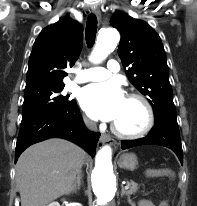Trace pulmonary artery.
<instances>
[{
	"instance_id": "obj_1",
	"label": "pulmonary artery",
	"mask_w": 197,
	"mask_h": 206,
	"mask_svg": "<svg viewBox=\"0 0 197 206\" xmlns=\"http://www.w3.org/2000/svg\"><path fill=\"white\" fill-rule=\"evenodd\" d=\"M120 69L119 62L115 59H111L107 63L106 68L94 67L82 71L80 76L76 79L77 82H89L100 81L109 78L112 73L117 72Z\"/></svg>"
}]
</instances>
